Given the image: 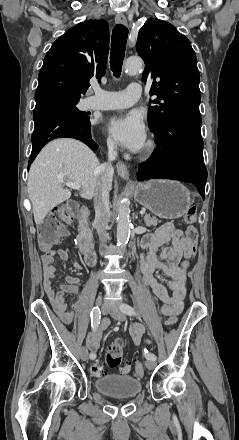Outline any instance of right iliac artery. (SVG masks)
Wrapping results in <instances>:
<instances>
[{
  "instance_id": "obj_1",
  "label": "right iliac artery",
  "mask_w": 239,
  "mask_h": 440,
  "mask_svg": "<svg viewBox=\"0 0 239 440\" xmlns=\"http://www.w3.org/2000/svg\"><path fill=\"white\" fill-rule=\"evenodd\" d=\"M100 320H101V311L99 309L98 306L93 307L92 311H91V327L92 330H96L98 325L100 324ZM96 358V354L95 353H91L90 354V359H95Z\"/></svg>"
}]
</instances>
